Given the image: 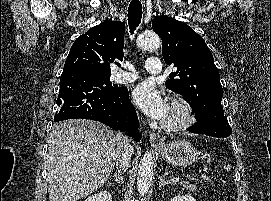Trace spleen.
<instances>
[{"label": "spleen", "instance_id": "1", "mask_svg": "<svg viewBox=\"0 0 271 201\" xmlns=\"http://www.w3.org/2000/svg\"><path fill=\"white\" fill-rule=\"evenodd\" d=\"M224 168L226 169V170H229L230 169V166H224Z\"/></svg>", "mask_w": 271, "mask_h": 201}]
</instances>
